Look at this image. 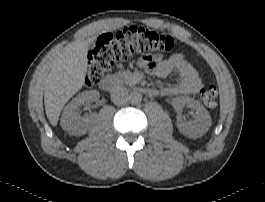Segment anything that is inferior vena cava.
<instances>
[{"mask_svg":"<svg viewBox=\"0 0 265 202\" xmlns=\"http://www.w3.org/2000/svg\"><path fill=\"white\" fill-rule=\"evenodd\" d=\"M111 100L116 105H124L129 100L127 88L123 86L113 88L111 91Z\"/></svg>","mask_w":265,"mask_h":202,"instance_id":"inferior-vena-cava-1","label":"inferior vena cava"}]
</instances>
